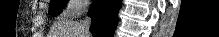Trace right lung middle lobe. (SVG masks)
<instances>
[{"instance_id": "right-lung-middle-lobe-1", "label": "right lung middle lobe", "mask_w": 219, "mask_h": 37, "mask_svg": "<svg viewBox=\"0 0 219 37\" xmlns=\"http://www.w3.org/2000/svg\"><path fill=\"white\" fill-rule=\"evenodd\" d=\"M65 1H67V0H53V1H50L49 14L52 17L58 16L63 10Z\"/></svg>"}]
</instances>
